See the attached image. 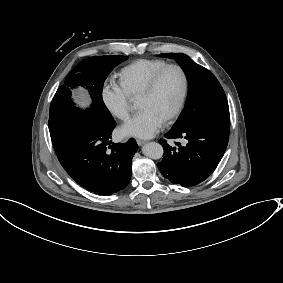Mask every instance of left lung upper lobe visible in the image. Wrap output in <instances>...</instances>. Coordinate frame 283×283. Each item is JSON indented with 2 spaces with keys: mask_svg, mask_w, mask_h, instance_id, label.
Segmentation results:
<instances>
[{
  "mask_svg": "<svg viewBox=\"0 0 283 283\" xmlns=\"http://www.w3.org/2000/svg\"><path fill=\"white\" fill-rule=\"evenodd\" d=\"M160 56L175 59L188 79L187 102L173 128L183 129L206 121L229 120L224 90L209 70L182 53H163Z\"/></svg>",
  "mask_w": 283,
  "mask_h": 283,
  "instance_id": "obj_1",
  "label": "left lung upper lobe"
}]
</instances>
